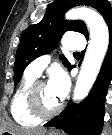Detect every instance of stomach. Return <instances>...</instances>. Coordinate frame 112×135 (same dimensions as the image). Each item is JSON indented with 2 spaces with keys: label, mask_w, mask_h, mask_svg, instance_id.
Listing matches in <instances>:
<instances>
[{
  "label": "stomach",
  "mask_w": 112,
  "mask_h": 135,
  "mask_svg": "<svg viewBox=\"0 0 112 135\" xmlns=\"http://www.w3.org/2000/svg\"><path fill=\"white\" fill-rule=\"evenodd\" d=\"M9 134H11V133L8 131L1 133V135H9ZM48 135H60V134L58 132L52 131V132L48 133Z\"/></svg>",
  "instance_id": "1"
}]
</instances>
